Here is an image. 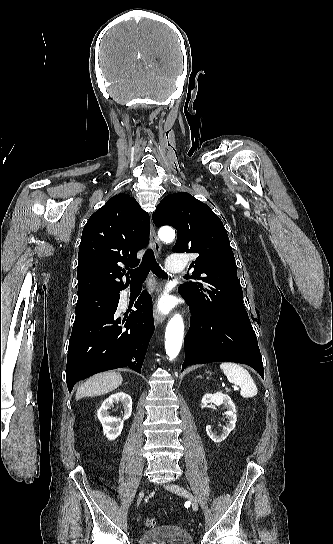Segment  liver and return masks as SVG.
Wrapping results in <instances>:
<instances>
[{
	"mask_svg": "<svg viewBox=\"0 0 333 544\" xmlns=\"http://www.w3.org/2000/svg\"><path fill=\"white\" fill-rule=\"evenodd\" d=\"M123 382V378L118 372H103L90 377L82 384L77 392L76 399L82 397H92L102 395L118 388Z\"/></svg>",
	"mask_w": 333,
	"mask_h": 544,
	"instance_id": "obj_1",
	"label": "liver"
}]
</instances>
